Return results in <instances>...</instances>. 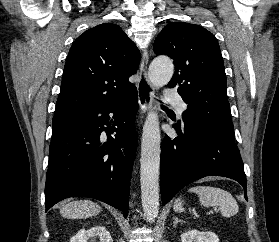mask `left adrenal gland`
<instances>
[{
  "instance_id": "1",
  "label": "left adrenal gland",
  "mask_w": 279,
  "mask_h": 242,
  "mask_svg": "<svg viewBox=\"0 0 279 242\" xmlns=\"http://www.w3.org/2000/svg\"><path fill=\"white\" fill-rule=\"evenodd\" d=\"M173 219H174V225H173V227H176V225H177L178 222H184L183 220L178 219L176 216H174Z\"/></svg>"
}]
</instances>
